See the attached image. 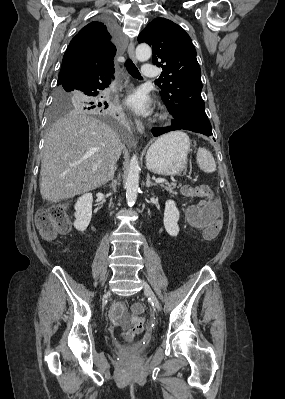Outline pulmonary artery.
<instances>
[{
	"instance_id": "1",
	"label": "pulmonary artery",
	"mask_w": 285,
	"mask_h": 399,
	"mask_svg": "<svg viewBox=\"0 0 285 399\" xmlns=\"http://www.w3.org/2000/svg\"><path fill=\"white\" fill-rule=\"evenodd\" d=\"M158 72L154 65L145 63L142 67V76L144 78L152 79L157 77Z\"/></svg>"
}]
</instances>
